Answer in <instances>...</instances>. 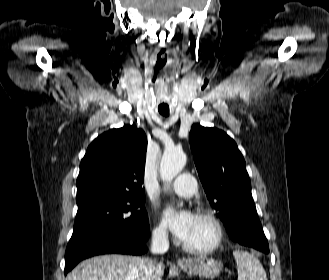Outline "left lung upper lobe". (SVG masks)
<instances>
[{
	"mask_svg": "<svg viewBox=\"0 0 329 280\" xmlns=\"http://www.w3.org/2000/svg\"><path fill=\"white\" fill-rule=\"evenodd\" d=\"M195 165L207 198L226 229L244 221L254 204L244 158L222 130L194 124L189 134Z\"/></svg>",
	"mask_w": 329,
	"mask_h": 280,
	"instance_id": "1",
	"label": "left lung upper lobe"
}]
</instances>
